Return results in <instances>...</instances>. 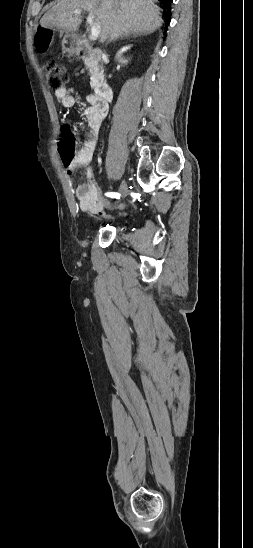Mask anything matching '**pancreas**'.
<instances>
[{"mask_svg": "<svg viewBox=\"0 0 253 548\" xmlns=\"http://www.w3.org/2000/svg\"><path fill=\"white\" fill-rule=\"evenodd\" d=\"M84 64L91 75V88H97L99 85V80L103 77L102 66L99 65L98 61L93 59L86 60Z\"/></svg>", "mask_w": 253, "mask_h": 548, "instance_id": "cf45deb5", "label": "pancreas"}]
</instances>
